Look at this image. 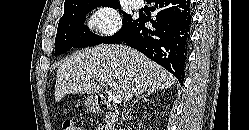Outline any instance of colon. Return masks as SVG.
<instances>
[{
	"mask_svg": "<svg viewBox=\"0 0 249 130\" xmlns=\"http://www.w3.org/2000/svg\"><path fill=\"white\" fill-rule=\"evenodd\" d=\"M62 130H83L73 120L67 119L62 124Z\"/></svg>",
	"mask_w": 249,
	"mask_h": 130,
	"instance_id": "obj_1",
	"label": "colon"
}]
</instances>
